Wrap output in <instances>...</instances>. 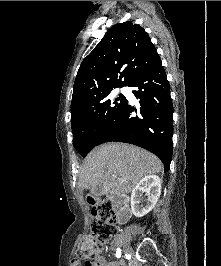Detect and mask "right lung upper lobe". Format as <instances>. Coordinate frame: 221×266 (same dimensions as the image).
<instances>
[{
	"instance_id": "right-lung-upper-lobe-1",
	"label": "right lung upper lobe",
	"mask_w": 221,
	"mask_h": 266,
	"mask_svg": "<svg viewBox=\"0 0 221 266\" xmlns=\"http://www.w3.org/2000/svg\"><path fill=\"white\" fill-rule=\"evenodd\" d=\"M160 61L144 28L131 21L112 26L80 65L73 87L72 117L84 111L95 96L129 86Z\"/></svg>"
}]
</instances>
